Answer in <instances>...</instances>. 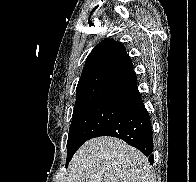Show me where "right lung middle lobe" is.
Returning a JSON list of instances; mask_svg holds the SVG:
<instances>
[{
    "instance_id": "1",
    "label": "right lung middle lobe",
    "mask_w": 196,
    "mask_h": 182,
    "mask_svg": "<svg viewBox=\"0 0 196 182\" xmlns=\"http://www.w3.org/2000/svg\"><path fill=\"white\" fill-rule=\"evenodd\" d=\"M133 108L126 104L96 102L74 109L68 134L66 165L84 142Z\"/></svg>"
}]
</instances>
